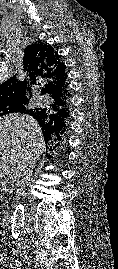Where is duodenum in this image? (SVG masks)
I'll return each mask as SVG.
<instances>
[{
    "instance_id": "obj_1",
    "label": "duodenum",
    "mask_w": 118,
    "mask_h": 269,
    "mask_svg": "<svg viewBox=\"0 0 118 269\" xmlns=\"http://www.w3.org/2000/svg\"><path fill=\"white\" fill-rule=\"evenodd\" d=\"M13 219V214L12 212L8 211L2 216V222L5 227H10Z\"/></svg>"
}]
</instances>
